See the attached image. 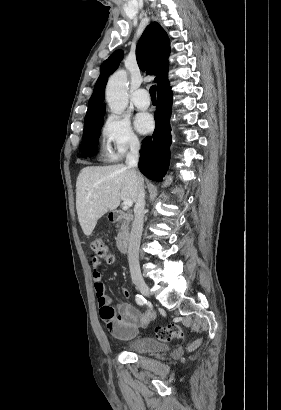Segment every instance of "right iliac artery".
<instances>
[{
    "label": "right iliac artery",
    "mask_w": 281,
    "mask_h": 410,
    "mask_svg": "<svg viewBox=\"0 0 281 410\" xmlns=\"http://www.w3.org/2000/svg\"><path fill=\"white\" fill-rule=\"evenodd\" d=\"M135 300L138 305H144V303L146 302L145 298L139 294L136 295Z\"/></svg>",
    "instance_id": "right-iliac-artery-1"
}]
</instances>
